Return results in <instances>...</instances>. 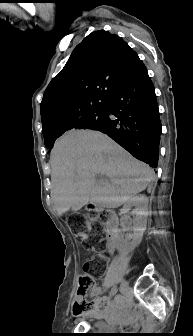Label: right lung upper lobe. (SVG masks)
<instances>
[{
	"label": "right lung upper lobe",
	"instance_id": "right-lung-upper-lobe-1",
	"mask_svg": "<svg viewBox=\"0 0 193 336\" xmlns=\"http://www.w3.org/2000/svg\"><path fill=\"white\" fill-rule=\"evenodd\" d=\"M140 62L121 37L105 30L89 34L76 46L43 95L44 140L68 134L77 119L106 108L122 81Z\"/></svg>",
	"mask_w": 193,
	"mask_h": 336
}]
</instances>
